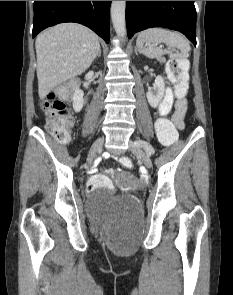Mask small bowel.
Listing matches in <instances>:
<instances>
[{
    "instance_id": "c3829d8e",
    "label": "small bowel",
    "mask_w": 233,
    "mask_h": 295,
    "mask_svg": "<svg viewBox=\"0 0 233 295\" xmlns=\"http://www.w3.org/2000/svg\"><path fill=\"white\" fill-rule=\"evenodd\" d=\"M174 93L171 88H166L165 95L158 106V114L161 118L168 115L170 112L173 104L175 107V111L172 115V123L178 128L182 129L184 127V117L186 112V100L185 99H179L176 102H174Z\"/></svg>"
}]
</instances>
